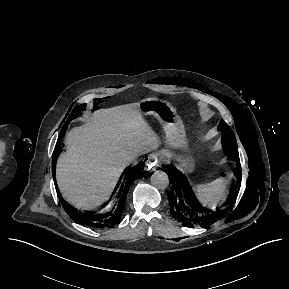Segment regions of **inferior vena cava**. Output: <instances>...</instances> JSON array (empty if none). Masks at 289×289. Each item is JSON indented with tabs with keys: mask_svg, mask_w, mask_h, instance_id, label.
<instances>
[{
	"mask_svg": "<svg viewBox=\"0 0 289 289\" xmlns=\"http://www.w3.org/2000/svg\"><path fill=\"white\" fill-rule=\"evenodd\" d=\"M129 162H131V163H136V158H135V157H132Z\"/></svg>",
	"mask_w": 289,
	"mask_h": 289,
	"instance_id": "inferior-vena-cava-1",
	"label": "inferior vena cava"
}]
</instances>
